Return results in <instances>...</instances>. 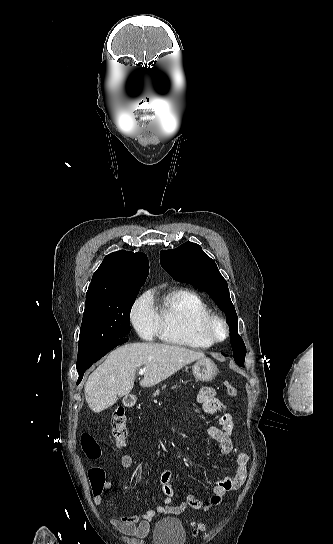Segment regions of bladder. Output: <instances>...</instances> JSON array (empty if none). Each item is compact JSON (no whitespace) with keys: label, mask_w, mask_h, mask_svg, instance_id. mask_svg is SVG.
Masks as SVG:
<instances>
[{"label":"bladder","mask_w":333,"mask_h":544,"mask_svg":"<svg viewBox=\"0 0 333 544\" xmlns=\"http://www.w3.org/2000/svg\"><path fill=\"white\" fill-rule=\"evenodd\" d=\"M153 544H185L186 531L176 518L160 519L153 530Z\"/></svg>","instance_id":"31cf9c89"}]
</instances>
